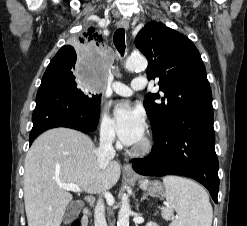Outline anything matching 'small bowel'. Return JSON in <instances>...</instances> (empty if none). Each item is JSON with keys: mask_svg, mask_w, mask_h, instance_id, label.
Wrapping results in <instances>:
<instances>
[{"mask_svg": "<svg viewBox=\"0 0 247 226\" xmlns=\"http://www.w3.org/2000/svg\"><path fill=\"white\" fill-rule=\"evenodd\" d=\"M148 226H156L155 224H149Z\"/></svg>", "mask_w": 247, "mask_h": 226, "instance_id": "1", "label": "small bowel"}]
</instances>
